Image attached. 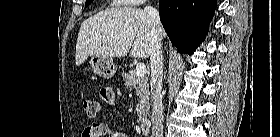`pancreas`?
Listing matches in <instances>:
<instances>
[{"label":"pancreas","instance_id":"cf45deb5","mask_svg":"<svg viewBox=\"0 0 280 137\" xmlns=\"http://www.w3.org/2000/svg\"><path fill=\"white\" fill-rule=\"evenodd\" d=\"M122 77L125 79V85L127 88L136 89V95L139 98V104L137 105L136 111L139 122H143L150 109L148 77H138L133 70L129 73H122Z\"/></svg>","mask_w":280,"mask_h":137}]
</instances>
